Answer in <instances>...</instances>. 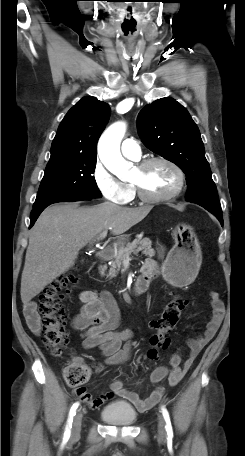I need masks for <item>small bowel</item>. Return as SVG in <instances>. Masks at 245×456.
I'll return each mask as SVG.
<instances>
[{"label":"small bowel","instance_id":"small-bowel-1","mask_svg":"<svg viewBox=\"0 0 245 456\" xmlns=\"http://www.w3.org/2000/svg\"><path fill=\"white\" fill-rule=\"evenodd\" d=\"M152 273L156 270V263L148 260L145 270ZM212 313L206 329L202 335L191 337L187 340L190 349L189 355L182 363L179 354H174L169 362L170 367L159 366L151 374V381L159 383L167 379L170 386H176L192 366L204 346L214 337L219 329L225 314V307L219 294L210 292ZM83 306L72 320V327L82 331L83 346L86 349L98 348L105 357L106 365H115L127 361L132 351L133 332L129 329L116 331L119 325L120 313L117 304L108 291L97 294L91 290H83L79 294ZM24 315L29 328L36 334L40 333V320L36 304L29 302L24 307ZM103 366L97 365L96 371H101ZM76 395L90 408L96 409L104 405L114 396H120L130 401L138 410H147L157 404L164 394V387L158 386L146 398L123 387L121 380L116 379L111 384V391L97 398L86 390L78 387Z\"/></svg>","mask_w":245,"mask_h":456}]
</instances>
